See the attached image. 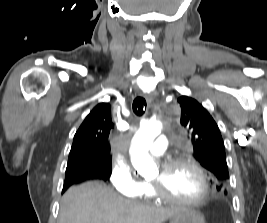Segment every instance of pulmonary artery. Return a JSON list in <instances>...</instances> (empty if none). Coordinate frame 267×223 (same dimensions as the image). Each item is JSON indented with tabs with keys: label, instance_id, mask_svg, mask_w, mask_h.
I'll return each mask as SVG.
<instances>
[{
	"label": "pulmonary artery",
	"instance_id": "e3ab8cb5",
	"mask_svg": "<svg viewBox=\"0 0 267 223\" xmlns=\"http://www.w3.org/2000/svg\"><path fill=\"white\" fill-rule=\"evenodd\" d=\"M168 139L164 135H160L156 138L154 144L149 148V153L154 156H161L167 149Z\"/></svg>",
	"mask_w": 267,
	"mask_h": 223
}]
</instances>
